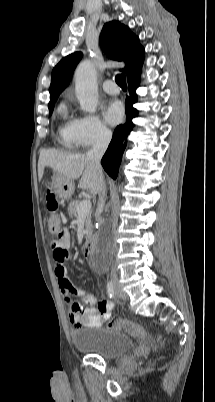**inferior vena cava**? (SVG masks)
<instances>
[{"label":"inferior vena cava","instance_id":"1","mask_svg":"<svg viewBox=\"0 0 215 402\" xmlns=\"http://www.w3.org/2000/svg\"><path fill=\"white\" fill-rule=\"evenodd\" d=\"M112 138V133L109 130H101L99 136L94 143L92 149L87 152V158L91 161L94 168L96 169L97 173L99 174L100 181H99V188H98V195H99V202H98V209L100 211L103 210L106 198V184L103 178L102 167H101V158L104 155L110 141ZM101 223V222H100ZM110 278L111 280L116 283L117 282V273L116 268L112 265L110 271Z\"/></svg>","mask_w":215,"mask_h":402}]
</instances>
